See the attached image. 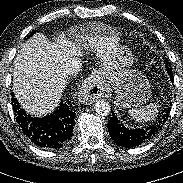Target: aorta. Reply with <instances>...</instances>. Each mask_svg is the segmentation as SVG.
Masks as SVG:
<instances>
[{
  "label": "aorta",
  "instance_id": "obj_1",
  "mask_svg": "<svg viewBox=\"0 0 183 183\" xmlns=\"http://www.w3.org/2000/svg\"><path fill=\"white\" fill-rule=\"evenodd\" d=\"M94 109L97 112V114H99L101 116H106L110 113L111 106H110L109 102L106 100H98L95 103Z\"/></svg>",
  "mask_w": 183,
  "mask_h": 183
}]
</instances>
